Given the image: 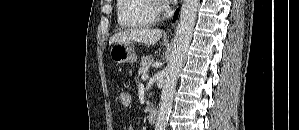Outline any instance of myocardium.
<instances>
[{
    "label": "myocardium",
    "instance_id": "obj_1",
    "mask_svg": "<svg viewBox=\"0 0 299 130\" xmlns=\"http://www.w3.org/2000/svg\"><path fill=\"white\" fill-rule=\"evenodd\" d=\"M153 7L156 11H159L161 9V4L159 1H153Z\"/></svg>",
    "mask_w": 299,
    "mask_h": 130
}]
</instances>
